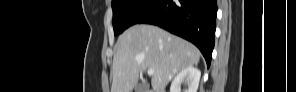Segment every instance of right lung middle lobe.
<instances>
[{
    "instance_id": "1",
    "label": "right lung middle lobe",
    "mask_w": 296,
    "mask_h": 92,
    "mask_svg": "<svg viewBox=\"0 0 296 92\" xmlns=\"http://www.w3.org/2000/svg\"><path fill=\"white\" fill-rule=\"evenodd\" d=\"M160 0H112L114 34L138 23Z\"/></svg>"
}]
</instances>
